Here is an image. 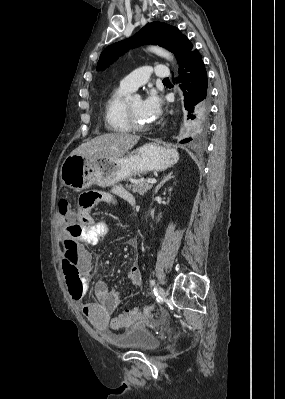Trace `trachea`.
<instances>
[{"instance_id":"obj_1","label":"trachea","mask_w":285,"mask_h":399,"mask_svg":"<svg viewBox=\"0 0 285 399\" xmlns=\"http://www.w3.org/2000/svg\"><path fill=\"white\" fill-rule=\"evenodd\" d=\"M163 81L167 82V81H169V79H168V78H165V79H163Z\"/></svg>"}]
</instances>
